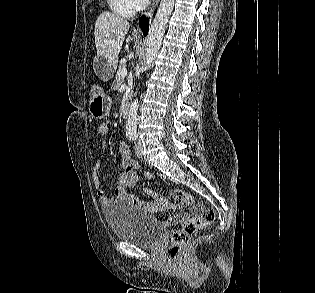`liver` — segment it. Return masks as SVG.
<instances>
[{
    "instance_id": "liver-1",
    "label": "liver",
    "mask_w": 315,
    "mask_h": 293,
    "mask_svg": "<svg viewBox=\"0 0 315 293\" xmlns=\"http://www.w3.org/2000/svg\"><path fill=\"white\" fill-rule=\"evenodd\" d=\"M130 24L127 20L110 12H102L95 23V45L99 56L116 66L119 52Z\"/></svg>"
}]
</instances>
